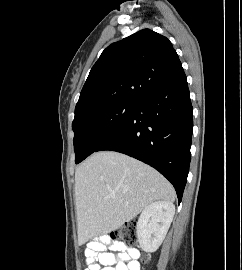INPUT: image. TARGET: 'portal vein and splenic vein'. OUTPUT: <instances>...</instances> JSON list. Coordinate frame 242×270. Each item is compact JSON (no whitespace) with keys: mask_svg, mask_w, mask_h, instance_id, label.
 I'll list each match as a JSON object with an SVG mask.
<instances>
[{"mask_svg":"<svg viewBox=\"0 0 242 270\" xmlns=\"http://www.w3.org/2000/svg\"><path fill=\"white\" fill-rule=\"evenodd\" d=\"M111 197H115V195H111Z\"/></svg>","mask_w":242,"mask_h":270,"instance_id":"1","label":"portal vein and splenic vein"}]
</instances>
